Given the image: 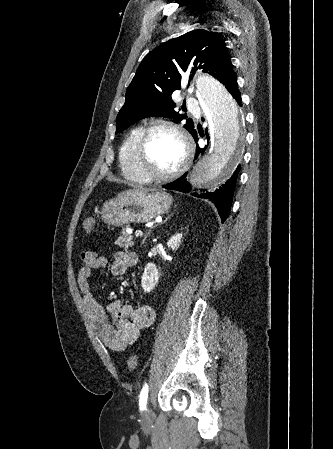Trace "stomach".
<instances>
[{
    "instance_id": "0dacf381",
    "label": "stomach",
    "mask_w": 333,
    "mask_h": 449,
    "mask_svg": "<svg viewBox=\"0 0 333 449\" xmlns=\"http://www.w3.org/2000/svg\"><path fill=\"white\" fill-rule=\"evenodd\" d=\"M171 205L172 198L165 192L134 190L104 203L100 215L104 223L113 226L146 223L168 212Z\"/></svg>"
}]
</instances>
